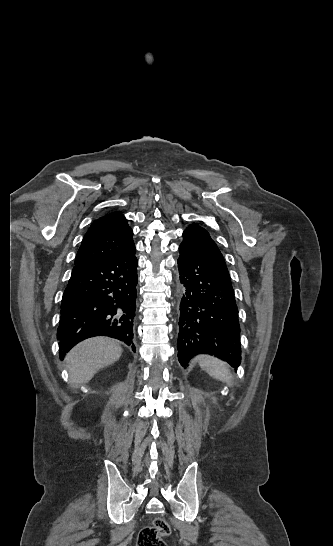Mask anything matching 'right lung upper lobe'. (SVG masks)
I'll return each instance as SVG.
<instances>
[{
    "instance_id": "1",
    "label": "right lung upper lobe",
    "mask_w": 333,
    "mask_h": 546,
    "mask_svg": "<svg viewBox=\"0 0 333 546\" xmlns=\"http://www.w3.org/2000/svg\"><path fill=\"white\" fill-rule=\"evenodd\" d=\"M133 231L121 212L95 220L82 240L75 265L92 264L114 258L133 245Z\"/></svg>"
}]
</instances>
